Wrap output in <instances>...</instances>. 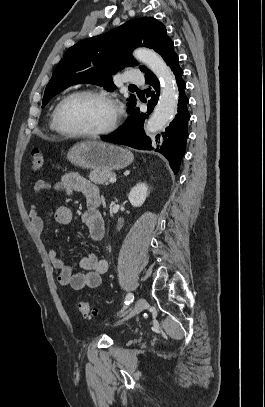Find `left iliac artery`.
Wrapping results in <instances>:
<instances>
[{"label": "left iliac artery", "mask_w": 265, "mask_h": 407, "mask_svg": "<svg viewBox=\"0 0 265 407\" xmlns=\"http://www.w3.org/2000/svg\"><path fill=\"white\" fill-rule=\"evenodd\" d=\"M134 300V295L132 293H128L126 298H125V306L124 309L127 308V306H129Z\"/></svg>", "instance_id": "left-iliac-artery-1"}]
</instances>
